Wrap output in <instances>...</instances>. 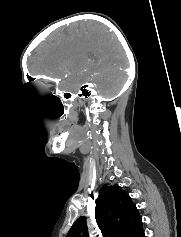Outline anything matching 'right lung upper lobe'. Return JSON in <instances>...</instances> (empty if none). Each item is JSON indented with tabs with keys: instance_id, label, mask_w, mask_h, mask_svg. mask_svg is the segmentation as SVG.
<instances>
[{
	"instance_id": "right-lung-upper-lobe-1",
	"label": "right lung upper lobe",
	"mask_w": 181,
	"mask_h": 237,
	"mask_svg": "<svg viewBox=\"0 0 181 237\" xmlns=\"http://www.w3.org/2000/svg\"><path fill=\"white\" fill-rule=\"evenodd\" d=\"M95 218L103 237H139L142 221L128 193L118 185H105L96 201ZM66 237H89L86 217H79Z\"/></svg>"
}]
</instances>
